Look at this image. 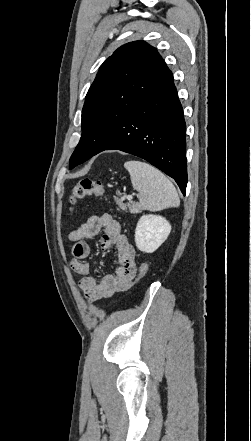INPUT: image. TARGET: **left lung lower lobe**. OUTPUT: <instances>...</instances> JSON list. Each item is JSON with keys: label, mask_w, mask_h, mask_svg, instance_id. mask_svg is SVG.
Wrapping results in <instances>:
<instances>
[{"label": "left lung lower lobe", "mask_w": 251, "mask_h": 441, "mask_svg": "<svg viewBox=\"0 0 251 441\" xmlns=\"http://www.w3.org/2000/svg\"><path fill=\"white\" fill-rule=\"evenodd\" d=\"M185 133L183 109L168 69L129 113L95 123L84 144L88 159L105 150H120L141 157L172 177L185 194Z\"/></svg>", "instance_id": "0a47b994"}]
</instances>
